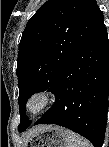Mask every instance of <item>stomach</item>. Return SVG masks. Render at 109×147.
I'll list each match as a JSON object with an SVG mask.
<instances>
[{
	"label": "stomach",
	"instance_id": "1",
	"mask_svg": "<svg viewBox=\"0 0 109 147\" xmlns=\"http://www.w3.org/2000/svg\"><path fill=\"white\" fill-rule=\"evenodd\" d=\"M68 133L60 126H47L28 138L23 147H66Z\"/></svg>",
	"mask_w": 109,
	"mask_h": 147
}]
</instances>
